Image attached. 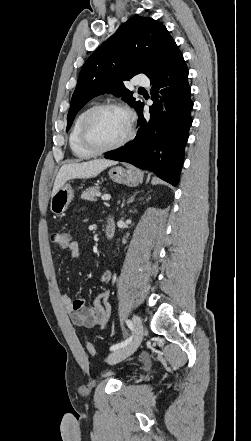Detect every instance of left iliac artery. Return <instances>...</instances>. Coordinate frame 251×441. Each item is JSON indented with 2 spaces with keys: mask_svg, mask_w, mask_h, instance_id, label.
<instances>
[{
  "mask_svg": "<svg viewBox=\"0 0 251 441\" xmlns=\"http://www.w3.org/2000/svg\"><path fill=\"white\" fill-rule=\"evenodd\" d=\"M126 324H127V326L130 328V330L133 332V331H134V326H133L132 321H131V320H126ZM132 338H133V336L131 335V336H130L129 338H127L126 340H124V341H122V342H120V343H117V344L112 345V346L110 347V351H115V350H117V349H119V348L124 347L125 345H127V344L132 340Z\"/></svg>",
  "mask_w": 251,
  "mask_h": 441,
  "instance_id": "44dca946",
  "label": "left iliac artery"
}]
</instances>
